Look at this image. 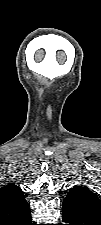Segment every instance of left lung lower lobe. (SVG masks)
I'll return each mask as SVG.
<instances>
[{
    "instance_id": "obj_1",
    "label": "left lung lower lobe",
    "mask_w": 101,
    "mask_h": 225,
    "mask_svg": "<svg viewBox=\"0 0 101 225\" xmlns=\"http://www.w3.org/2000/svg\"><path fill=\"white\" fill-rule=\"evenodd\" d=\"M62 218L63 221L66 222L64 225H101V220L89 216L66 212L64 210Z\"/></svg>"
}]
</instances>
